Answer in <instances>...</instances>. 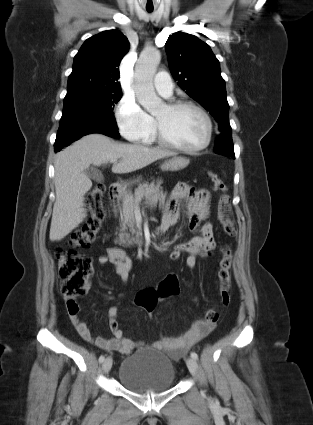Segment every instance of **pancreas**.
I'll return each instance as SVG.
<instances>
[{
    "label": "pancreas",
    "mask_w": 313,
    "mask_h": 425,
    "mask_svg": "<svg viewBox=\"0 0 313 425\" xmlns=\"http://www.w3.org/2000/svg\"><path fill=\"white\" fill-rule=\"evenodd\" d=\"M161 181L148 182L140 184L138 188L135 189L134 194L125 193L122 201L121 212V225H120V233L119 238L116 241L123 247H130L133 244H138L139 240V232L136 227V220L134 215V210L136 207H139L142 199L145 198L146 204L151 207H155L157 204L163 206L165 204L167 193L163 192L160 187ZM128 229L129 232L128 233ZM135 235V237H133Z\"/></svg>",
    "instance_id": "cf45deb5"
}]
</instances>
